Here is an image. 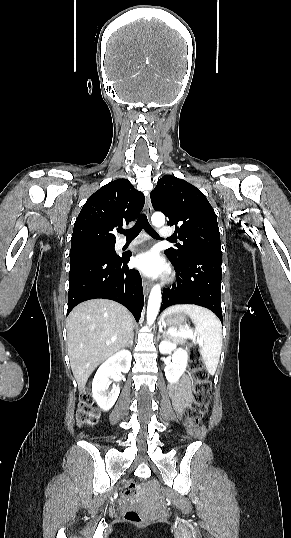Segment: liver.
I'll use <instances>...</instances> for the list:
<instances>
[{
	"label": "liver",
	"mask_w": 291,
	"mask_h": 538,
	"mask_svg": "<svg viewBox=\"0 0 291 538\" xmlns=\"http://www.w3.org/2000/svg\"><path fill=\"white\" fill-rule=\"evenodd\" d=\"M66 329L71 369L81 392L95 368L129 342L133 318L121 304L95 299L71 311Z\"/></svg>",
	"instance_id": "obj_1"
}]
</instances>
